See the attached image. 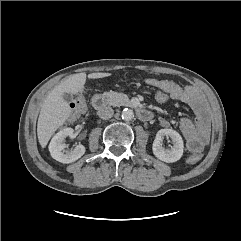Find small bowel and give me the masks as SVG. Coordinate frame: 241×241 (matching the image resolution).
<instances>
[{
  "instance_id": "small-bowel-1",
  "label": "small bowel",
  "mask_w": 241,
  "mask_h": 241,
  "mask_svg": "<svg viewBox=\"0 0 241 241\" xmlns=\"http://www.w3.org/2000/svg\"><path fill=\"white\" fill-rule=\"evenodd\" d=\"M145 82L155 88L165 90L170 98L190 106L195 114V120L182 118L180 131L186 139L189 151L198 154L207 145L210 136V120L206 103L199 91L192 86H181L173 81L157 78H146ZM162 127H168L169 122L160 119Z\"/></svg>"
}]
</instances>
